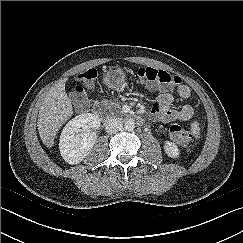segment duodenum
I'll list each match as a JSON object with an SVG mask.
<instances>
[{"label": "duodenum", "instance_id": "duodenum-1", "mask_svg": "<svg viewBox=\"0 0 243 243\" xmlns=\"http://www.w3.org/2000/svg\"><path fill=\"white\" fill-rule=\"evenodd\" d=\"M93 113H94V115H97V116H99L101 114L100 110L98 108H95L93 110ZM128 118H130L134 121H138V122L140 121V118L137 115H128Z\"/></svg>", "mask_w": 243, "mask_h": 243}]
</instances>
